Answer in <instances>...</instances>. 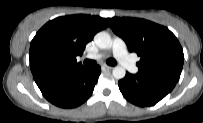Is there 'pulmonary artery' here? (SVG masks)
Segmentation results:
<instances>
[{
  "label": "pulmonary artery",
  "mask_w": 203,
  "mask_h": 123,
  "mask_svg": "<svg viewBox=\"0 0 203 123\" xmlns=\"http://www.w3.org/2000/svg\"><path fill=\"white\" fill-rule=\"evenodd\" d=\"M112 52L115 58L120 62V64L128 70L130 73H136L138 68L132 58L129 56L126 50L125 43L120 38H114L112 42ZM107 55V53H98L95 55H89L90 59H100Z\"/></svg>",
  "instance_id": "obj_1"
}]
</instances>
